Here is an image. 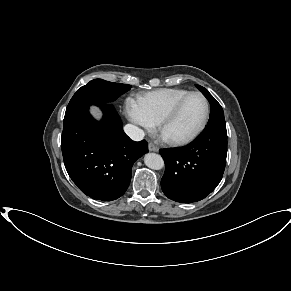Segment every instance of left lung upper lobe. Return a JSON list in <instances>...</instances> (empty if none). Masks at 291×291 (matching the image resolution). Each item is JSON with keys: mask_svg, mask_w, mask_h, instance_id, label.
Returning a JSON list of instances; mask_svg holds the SVG:
<instances>
[{"mask_svg": "<svg viewBox=\"0 0 291 291\" xmlns=\"http://www.w3.org/2000/svg\"><path fill=\"white\" fill-rule=\"evenodd\" d=\"M196 87L203 93L210 103L211 113L210 119L206 127L211 126H225L224 112L221 105L204 87L196 85Z\"/></svg>", "mask_w": 291, "mask_h": 291, "instance_id": "left-lung-upper-lobe-1", "label": "left lung upper lobe"}]
</instances>
